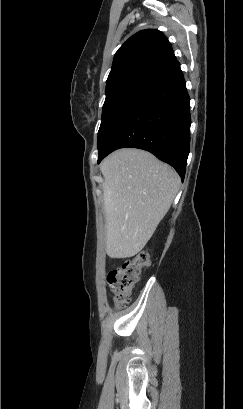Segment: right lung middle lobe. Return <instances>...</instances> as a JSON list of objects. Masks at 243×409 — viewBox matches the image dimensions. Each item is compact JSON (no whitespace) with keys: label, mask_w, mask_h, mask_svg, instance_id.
Wrapping results in <instances>:
<instances>
[{"label":"right lung middle lobe","mask_w":243,"mask_h":409,"mask_svg":"<svg viewBox=\"0 0 243 409\" xmlns=\"http://www.w3.org/2000/svg\"><path fill=\"white\" fill-rule=\"evenodd\" d=\"M160 81L153 77L136 76L115 82L106 88V99L98 132V154L118 126Z\"/></svg>","instance_id":"1"}]
</instances>
